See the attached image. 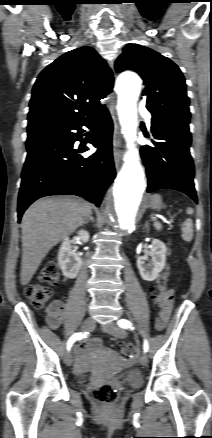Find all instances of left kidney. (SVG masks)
<instances>
[{"label": "left kidney", "instance_id": "5707ae66", "mask_svg": "<svg viewBox=\"0 0 212 438\" xmlns=\"http://www.w3.org/2000/svg\"><path fill=\"white\" fill-rule=\"evenodd\" d=\"M166 246L158 239H154L149 252L151 260L146 263L147 257H139L137 259V267L142 279L146 281H154L159 273L163 270L166 261Z\"/></svg>", "mask_w": 212, "mask_h": 438}]
</instances>
